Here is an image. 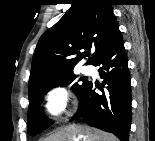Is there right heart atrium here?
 Returning <instances> with one entry per match:
<instances>
[{
    "mask_svg": "<svg viewBox=\"0 0 155 141\" xmlns=\"http://www.w3.org/2000/svg\"><path fill=\"white\" fill-rule=\"evenodd\" d=\"M72 97L62 87H53L45 97V108L53 119H61L71 111Z\"/></svg>",
    "mask_w": 155,
    "mask_h": 141,
    "instance_id": "obj_1",
    "label": "right heart atrium"
}]
</instances>
